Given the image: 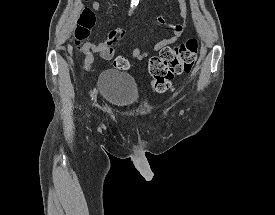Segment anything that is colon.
Segmentation results:
<instances>
[{
  "label": "colon",
  "mask_w": 275,
  "mask_h": 215,
  "mask_svg": "<svg viewBox=\"0 0 275 215\" xmlns=\"http://www.w3.org/2000/svg\"><path fill=\"white\" fill-rule=\"evenodd\" d=\"M94 25L95 17L93 12L85 8L75 30V37L78 43L89 36ZM197 52L198 43L193 38L182 41L174 47H164L158 56L150 59L148 64L153 88L157 92H165L170 87L175 76L190 72L197 59ZM114 66L119 70H127L129 68V60L126 57L118 56L114 60Z\"/></svg>",
  "instance_id": "colon-1"
}]
</instances>
